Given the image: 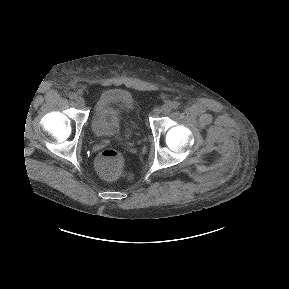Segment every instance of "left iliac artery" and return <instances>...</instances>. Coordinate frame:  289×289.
Returning <instances> with one entry per match:
<instances>
[{"label": "left iliac artery", "instance_id": "1", "mask_svg": "<svg viewBox=\"0 0 289 289\" xmlns=\"http://www.w3.org/2000/svg\"><path fill=\"white\" fill-rule=\"evenodd\" d=\"M179 105L180 103L178 101H173L170 106L172 109H177Z\"/></svg>", "mask_w": 289, "mask_h": 289}]
</instances>
